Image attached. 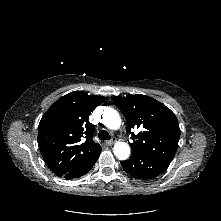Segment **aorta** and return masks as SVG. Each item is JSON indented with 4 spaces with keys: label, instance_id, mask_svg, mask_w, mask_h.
I'll list each match as a JSON object with an SVG mask.
<instances>
[{
    "label": "aorta",
    "instance_id": "aorta-1",
    "mask_svg": "<svg viewBox=\"0 0 221 221\" xmlns=\"http://www.w3.org/2000/svg\"><path fill=\"white\" fill-rule=\"evenodd\" d=\"M104 124L112 130H117L121 125V118L118 112L112 108H106L103 112ZM115 156L120 160H126L130 155V147L124 142H118L113 148Z\"/></svg>",
    "mask_w": 221,
    "mask_h": 221
}]
</instances>
